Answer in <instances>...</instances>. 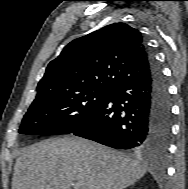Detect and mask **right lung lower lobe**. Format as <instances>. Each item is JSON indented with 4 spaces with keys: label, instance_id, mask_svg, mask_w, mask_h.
Instances as JSON below:
<instances>
[{
    "label": "right lung lower lobe",
    "instance_id": "obj_1",
    "mask_svg": "<svg viewBox=\"0 0 188 189\" xmlns=\"http://www.w3.org/2000/svg\"><path fill=\"white\" fill-rule=\"evenodd\" d=\"M150 71L111 90L72 134L120 149L150 148L165 153L172 113L166 80L148 51Z\"/></svg>",
    "mask_w": 188,
    "mask_h": 189
}]
</instances>
